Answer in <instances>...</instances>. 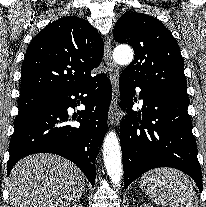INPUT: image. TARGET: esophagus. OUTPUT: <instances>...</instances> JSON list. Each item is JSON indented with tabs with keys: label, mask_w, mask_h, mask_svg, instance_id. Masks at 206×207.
<instances>
[{
	"label": "esophagus",
	"mask_w": 206,
	"mask_h": 207,
	"mask_svg": "<svg viewBox=\"0 0 206 207\" xmlns=\"http://www.w3.org/2000/svg\"><path fill=\"white\" fill-rule=\"evenodd\" d=\"M104 60L109 69L110 80H111L112 89H113V98H112L110 114H109V125L118 126L120 122V118L117 113L118 98H119V90H118L119 67L113 61L112 50H111V40L109 37H107L105 40Z\"/></svg>",
	"instance_id": "1"
}]
</instances>
